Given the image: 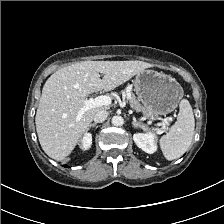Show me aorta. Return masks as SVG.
<instances>
[{
    "label": "aorta",
    "instance_id": "1",
    "mask_svg": "<svg viewBox=\"0 0 224 224\" xmlns=\"http://www.w3.org/2000/svg\"><path fill=\"white\" fill-rule=\"evenodd\" d=\"M111 122L114 126H121L124 123V119L122 116L116 115L112 117Z\"/></svg>",
    "mask_w": 224,
    "mask_h": 224
}]
</instances>
